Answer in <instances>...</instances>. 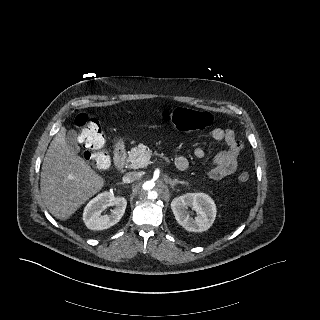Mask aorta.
Returning <instances> with one entry per match:
<instances>
[{
	"label": "aorta",
	"instance_id": "obj_1",
	"mask_svg": "<svg viewBox=\"0 0 320 320\" xmlns=\"http://www.w3.org/2000/svg\"><path fill=\"white\" fill-rule=\"evenodd\" d=\"M163 186V183L160 179H152L149 178L143 182L141 185V194L143 198H145L148 201H154L158 199L161 192V187Z\"/></svg>",
	"mask_w": 320,
	"mask_h": 320
}]
</instances>
